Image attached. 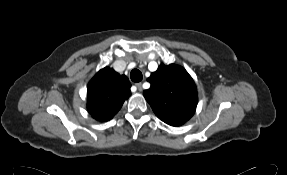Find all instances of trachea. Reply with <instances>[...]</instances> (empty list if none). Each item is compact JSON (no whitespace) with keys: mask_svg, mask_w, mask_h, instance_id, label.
Listing matches in <instances>:
<instances>
[{"mask_svg":"<svg viewBox=\"0 0 287 175\" xmlns=\"http://www.w3.org/2000/svg\"><path fill=\"white\" fill-rule=\"evenodd\" d=\"M131 80L135 83H138L142 80L143 76L141 71L138 69H133L130 73Z\"/></svg>","mask_w":287,"mask_h":175,"instance_id":"3493384b","label":"trachea"}]
</instances>
